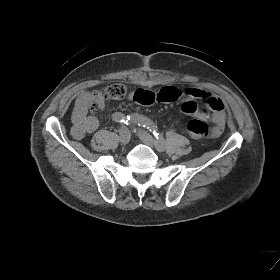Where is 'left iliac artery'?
<instances>
[{
	"instance_id": "left-iliac-artery-1",
	"label": "left iliac artery",
	"mask_w": 280,
	"mask_h": 280,
	"mask_svg": "<svg viewBox=\"0 0 280 280\" xmlns=\"http://www.w3.org/2000/svg\"><path fill=\"white\" fill-rule=\"evenodd\" d=\"M129 119L135 123H137L139 126H142L144 128L149 129L150 131L153 132L154 136L156 137V146L159 148H165V140L159 133H157L156 126L154 123L148 119L145 116L138 115V114H133L129 116Z\"/></svg>"
}]
</instances>
